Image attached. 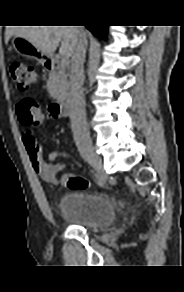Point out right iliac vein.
Masks as SVG:
<instances>
[{"label": "right iliac vein", "instance_id": "63e3f726", "mask_svg": "<svg viewBox=\"0 0 184 292\" xmlns=\"http://www.w3.org/2000/svg\"><path fill=\"white\" fill-rule=\"evenodd\" d=\"M83 158L102 176L104 183L106 181V175L101 158L94 153L83 154Z\"/></svg>", "mask_w": 184, "mask_h": 292}]
</instances>
